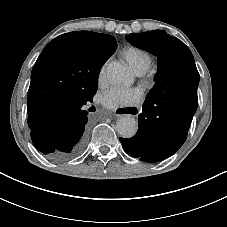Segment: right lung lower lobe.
<instances>
[{"label": "right lung lower lobe", "mask_w": 227, "mask_h": 227, "mask_svg": "<svg viewBox=\"0 0 227 227\" xmlns=\"http://www.w3.org/2000/svg\"><path fill=\"white\" fill-rule=\"evenodd\" d=\"M92 96L63 100L50 121L40 131H31L34 146L53 161H65L77 156L86 143L88 112L86 103Z\"/></svg>", "instance_id": "obj_1"}]
</instances>
